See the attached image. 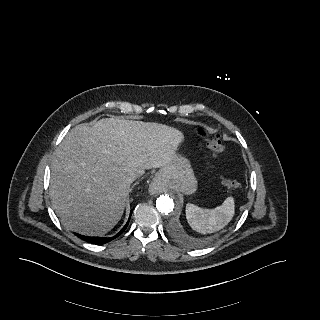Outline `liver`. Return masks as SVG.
<instances>
[{
    "label": "liver",
    "instance_id": "6515ba94",
    "mask_svg": "<svg viewBox=\"0 0 320 320\" xmlns=\"http://www.w3.org/2000/svg\"><path fill=\"white\" fill-rule=\"evenodd\" d=\"M183 140L176 128L119 118L71 129L51 166L49 193L61 223L82 235H105L123 215L128 175L168 165Z\"/></svg>",
    "mask_w": 320,
    "mask_h": 320
}]
</instances>
